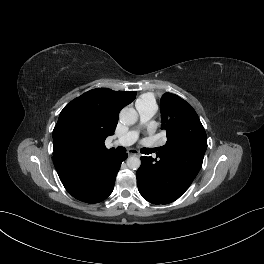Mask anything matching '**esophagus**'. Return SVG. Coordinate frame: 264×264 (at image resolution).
<instances>
[{
  "mask_svg": "<svg viewBox=\"0 0 264 264\" xmlns=\"http://www.w3.org/2000/svg\"><path fill=\"white\" fill-rule=\"evenodd\" d=\"M127 153L129 156H140V153L136 149H129Z\"/></svg>",
  "mask_w": 264,
  "mask_h": 264,
  "instance_id": "34e87169",
  "label": "esophagus"
}]
</instances>
